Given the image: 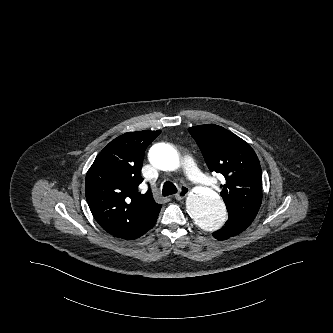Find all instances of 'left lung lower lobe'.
<instances>
[{"label": "left lung lower lobe", "instance_id": "obj_1", "mask_svg": "<svg viewBox=\"0 0 333 333\" xmlns=\"http://www.w3.org/2000/svg\"><path fill=\"white\" fill-rule=\"evenodd\" d=\"M252 222L244 220L235 215L228 216V220L220 230L213 232V236L218 240H225L235 236L250 226Z\"/></svg>", "mask_w": 333, "mask_h": 333}]
</instances>
